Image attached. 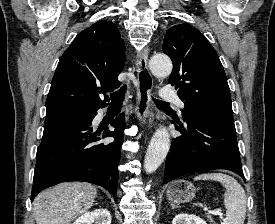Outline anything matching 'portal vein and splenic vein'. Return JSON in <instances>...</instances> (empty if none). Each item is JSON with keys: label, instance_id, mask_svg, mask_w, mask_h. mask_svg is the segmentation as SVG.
Returning a JSON list of instances; mask_svg holds the SVG:
<instances>
[{"label": "portal vein and splenic vein", "instance_id": "1", "mask_svg": "<svg viewBox=\"0 0 275 224\" xmlns=\"http://www.w3.org/2000/svg\"><path fill=\"white\" fill-rule=\"evenodd\" d=\"M204 211L205 212H208V213H211V214H215V215H221V211L219 210H209L208 207H204Z\"/></svg>", "mask_w": 275, "mask_h": 224}]
</instances>
